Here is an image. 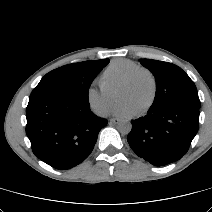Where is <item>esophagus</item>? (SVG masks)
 <instances>
[{
  "label": "esophagus",
  "instance_id": "obj_1",
  "mask_svg": "<svg viewBox=\"0 0 212 212\" xmlns=\"http://www.w3.org/2000/svg\"><path fill=\"white\" fill-rule=\"evenodd\" d=\"M120 122V120L118 118H112L110 120V125H113V124H118Z\"/></svg>",
  "mask_w": 212,
  "mask_h": 212
}]
</instances>
